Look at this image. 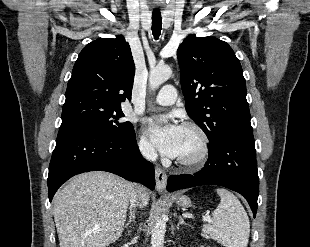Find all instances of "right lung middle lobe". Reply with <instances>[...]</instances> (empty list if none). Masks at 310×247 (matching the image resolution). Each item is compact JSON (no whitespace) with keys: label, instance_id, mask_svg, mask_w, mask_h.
<instances>
[{"label":"right lung middle lobe","instance_id":"right-lung-middle-lobe-1","mask_svg":"<svg viewBox=\"0 0 310 247\" xmlns=\"http://www.w3.org/2000/svg\"><path fill=\"white\" fill-rule=\"evenodd\" d=\"M60 129L83 127L122 136L133 130L130 122L118 121L124 114L121 108L76 106L62 110Z\"/></svg>","mask_w":310,"mask_h":247}]
</instances>
